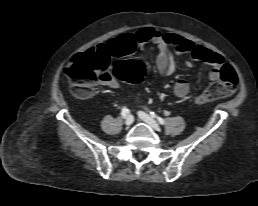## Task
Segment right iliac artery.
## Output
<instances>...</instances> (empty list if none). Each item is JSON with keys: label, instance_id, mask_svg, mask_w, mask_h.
I'll return each instance as SVG.
<instances>
[{"label": "right iliac artery", "instance_id": "obj_1", "mask_svg": "<svg viewBox=\"0 0 258 206\" xmlns=\"http://www.w3.org/2000/svg\"><path fill=\"white\" fill-rule=\"evenodd\" d=\"M127 114H128V109H126L125 107L122 108V111H121V115L123 118H126L127 117Z\"/></svg>", "mask_w": 258, "mask_h": 206}]
</instances>
